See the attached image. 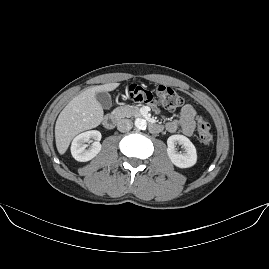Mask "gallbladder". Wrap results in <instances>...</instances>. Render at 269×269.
<instances>
[{
    "instance_id": "obj_1",
    "label": "gallbladder",
    "mask_w": 269,
    "mask_h": 269,
    "mask_svg": "<svg viewBox=\"0 0 269 269\" xmlns=\"http://www.w3.org/2000/svg\"><path fill=\"white\" fill-rule=\"evenodd\" d=\"M96 99L104 109H109L112 106L111 97L107 92L97 93Z\"/></svg>"
}]
</instances>
